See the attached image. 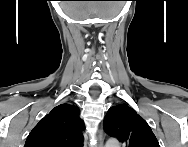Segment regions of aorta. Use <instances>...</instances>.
<instances>
[{
    "mask_svg": "<svg viewBox=\"0 0 188 147\" xmlns=\"http://www.w3.org/2000/svg\"><path fill=\"white\" fill-rule=\"evenodd\" d=\"M106 147H119V142L118 140L116 139H109L107 142H106Z\"/></svg>",
    "mask_w": 188,
    "mask_h": 147,
    "instance_id": "1",
    "label": "aorta"
}]
</instances>
